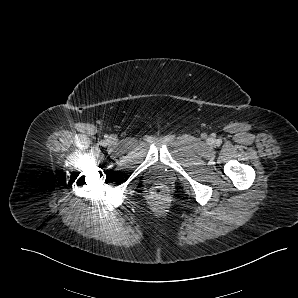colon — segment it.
I'll return each instance as SVG.
<instances>
[{"label":"colon","mask_w":298,"mask_h":298,"mask_svg":"<svg viewBox=\"0 0 298 298\" xmlns=\"http://www.w3.org/2000/svg\"><path fill=\"white\" fill-rule=\"evenodd\" d=\"M154 192L157 196L163 197L167 193V188L163 184H159L155 187Z\"/></svg>","instance_id":"obj_1"}]
</instances>
